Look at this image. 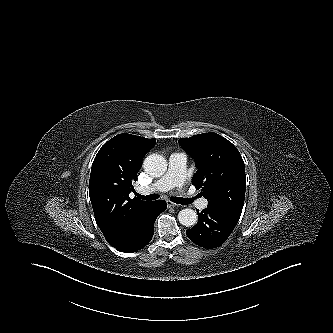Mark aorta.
Masks as SVG:
<instances>
[{"label": "aorta", "mask_w": 333, "mask_h": 333, "mask_svg": "<svg viewBox=\"0 0 333 333\" xmlns=\"http://www.w3.org/2000/svg\"><path fill=\"white\" fill-rule=\"evenodd\" d=\"M143 168L150 176L161 177L167 170V162L163 156L151 154L145 158ZM178 220L183 226H194L197 222V213L190 208L182 209L178 213Z\"/></svg>", "instance_id": "1"}]
</instances>
